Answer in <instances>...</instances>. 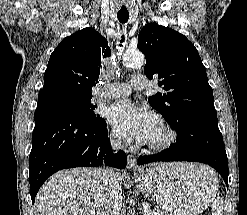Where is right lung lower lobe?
<instances>
[{"label": "right lung lower lobe", "instance_id": "obj_1", "mask_svg": "<svg viewBox=\"0 0 247 215\" xmlns=\"http://www.w3.org/2000/svg\"><path fill=\"white\" fill-rule=\"evenodd\" d=\"M106 123L90 121L46 104H38L29 157V183L32 203L44 181L66 168L105 163L124 169L127 156L111 152Z\"/></svg>", "mask_w": 247, "mask_h": 215}]
</instances>
